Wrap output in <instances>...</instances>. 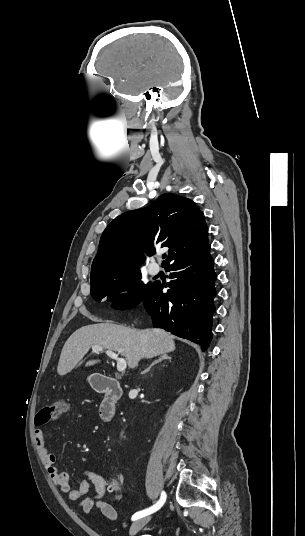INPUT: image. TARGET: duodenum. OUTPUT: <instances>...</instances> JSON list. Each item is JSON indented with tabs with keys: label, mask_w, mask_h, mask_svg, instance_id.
I'll use <instances>...</instances> for the list:
<instances>
[{
	"label": "duodenum",
	"mask_w": 305,
	"mask_h": 536,
	"mask_svg": "<svg viewBox=\"0 0 305 536\" xmlns=\"http://www.w3.org/2000/svg\"><path fill=\"white\" fill-rule=\"evenodd\" d=\"M92 384L97 392L104 395L100 405V417L109 423L115 418L116 405L122 396V388L115 378L102 375H95Z\"/></svg>",
	"instance_id": "duodenum-1"
}]
</instances>
